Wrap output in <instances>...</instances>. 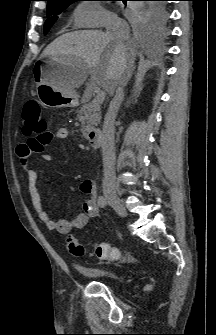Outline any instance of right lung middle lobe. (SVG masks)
<instances>
[{
	"instance_id": "right-lung-middle-lobe-1",
	"label": "right lung middle lobe",
	"mask_w": 216,
	"mask_h": 335,
	"mask_svg": "<svg viewBox=\"0 0 216 335\" xmlns=\"http://www.w3.org/2000/svg\"><path fill=\"white\" fill-rule=\"evenodd\" d=\"M73 2L74 1H66L47 5L48 19L46 20L44 25L45 34L49 31L51 26L57 20L58 15ZM135 15L139 20L141 26L145 30L154 33H160L165 31V24L167 21V11L165 8V3H146L143 7L135 11Z\"/></svg>"
}]
</instances>
